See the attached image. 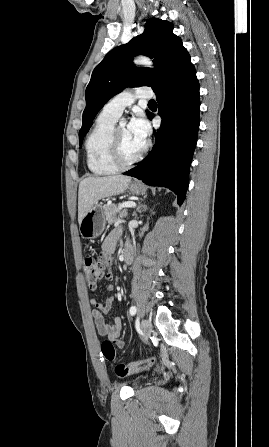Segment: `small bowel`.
<instances>
[{
	"instance_id": "small-bowel-1",
	"label": "small bowel",
	"mask_w": 269,
	"mask_h": 447,
	"mask_svg": "<svg viewBox=\"0 0 269 447\" xmlns=\"http://www.w3.org/2000/svg\"><path fill=\"white\" fill-rule=\"evenodd\" d=\"M119 237V232L113 230L105 239L102 249L106 254L113 252L115 245ZM127 250H131L130 246H127ZM111 288V286L109 287ZM90 303L95 309L92 311L91 315L95 320L96 328L98 333L107 337L109 340L113 341L119 348L125 347V342L120 338V333L122 331V322L119 317H115L112 322L108 321L104 315L109 313L111 307L114 303L113 297H108L104 303H101L97 298L92 297Z\"/></svg>"
}]
</instances>
